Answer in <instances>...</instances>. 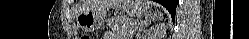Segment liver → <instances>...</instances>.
<instances>
[{"label": "liver", "mask_w": 249, "mask_h": 39, "mask_svg": "<svg viewBox=\"0 0 249 39\" xmlns=\"http://www.w3.org/2000/svg\"><path fill=\"white\" fill-rule=\"evenodd\" d=\"M123 0H85L82 6L79 8V13L95 8H112L114 6H120Z\"/></svg>", "instance_id": "obj_1"}]
</instances>
